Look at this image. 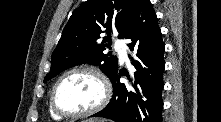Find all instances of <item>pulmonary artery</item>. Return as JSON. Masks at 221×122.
<instances>
[{"label":"pulmonary artery","instance_id":"1","mask_svg":"<svg viewBox=\"0 0 221 122\" xmlns=\"http://www.w3.org/2000/svg\"><path fill=\"white\" fill-rule=\"evenodd\" d=\"M115 50L118 52L121 61L127 60V46L123 40H116L114 43Z\"/></svg>","mask_w":221,"mask_h":122}]
</instances>
